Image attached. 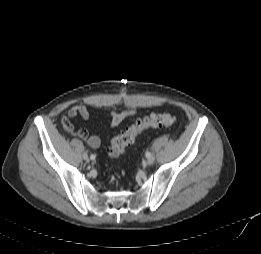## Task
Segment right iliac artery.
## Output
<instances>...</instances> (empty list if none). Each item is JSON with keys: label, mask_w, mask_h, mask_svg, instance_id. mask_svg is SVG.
Masks as SVG:
<instances>
[{"label": "right iliac artery", "mask_w": 261, "mask_h": 254, "mask_svg": "<svg viewBox=\"0 0 261 254\" xmlns=\"http://www.w3.org/2000/svg\"><path fill=\"white\" fill-rule=\"evenodd\" d=\"M90 159L94 160V159H95V155L92 154V155L90 156Z\"/></svg>", "instance_id": "right-iliac-artery-1"}]
</instances>
